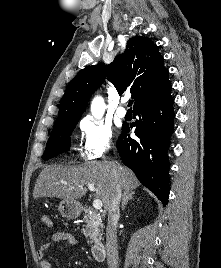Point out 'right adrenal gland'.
Wrapping results in <instances>:
<instances>
[{
  "label": "right adrenal gland",
  "instance_id": "obj_1",
  "mask_svg": "<svg viewBox=\"0 0 221 268\" xmlns=\"http://www.w3.org/2000/svg\"><path fill=\"white\" fill-rule=\"evenodd\" d=\"M134 191H124L122 195V204H121V209L124 210L128 201L134 199Z\"/></svg>",
  "mask_w": 221,
  "mask_h": 268
}]
</instances>
